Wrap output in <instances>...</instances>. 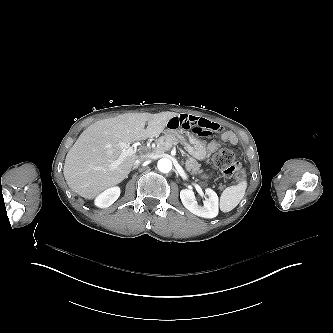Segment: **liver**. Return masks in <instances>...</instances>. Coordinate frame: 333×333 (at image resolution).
Returning a JSON list of instances; mask_svg holds the SVG:
<instances>
[{
  "label": "liver",
  "instance_id": "1",
  "mask_svg": "<svg viewBox=\"0 0 333 333\" xmlns=\"http://www.w3.org/2000/svg\"><path fill=\"white\" fill-rule=\"evenodd\" d=\"M175 112L126 113L99 120L84 130L68 151L63 174L72 191L86 199H93L102 191L117 185L131 171L141 157L127 156L115 169L110 164L119 158L120 143L158 137ZM146 122L148 123L145 128Z\"/></svg>",
  "mask_w": 333,
  "mask_h": 333
}]
</instances>
